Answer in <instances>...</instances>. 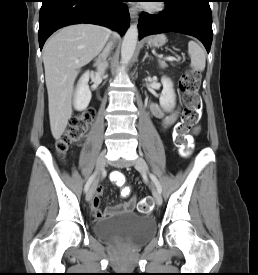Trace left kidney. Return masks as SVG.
<instances>
[{
	"mask_svg": "<svg viewBox=\"0 0 258 275\" xmlns=\"http://www.w3.org/2000/svg\"><path fill=\"white\" fill-rule=\"evenodd\" d=\"M161 82L163 85V90L159 98L160 105L166 110H170L174 106L173 85L170 79L166 77H162Z\"/></svg>",
	"mask_w": 258,
	"mask_h": 275,
	"instance_id": "1",
	"label": "left kidney"
}]
</instances>
